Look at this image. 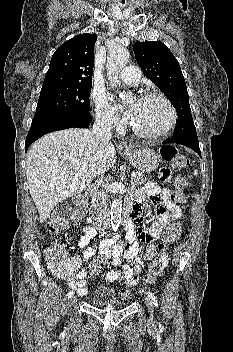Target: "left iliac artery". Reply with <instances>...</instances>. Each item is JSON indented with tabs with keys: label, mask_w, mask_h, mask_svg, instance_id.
<instances>
[{
	"label": "left iliac artery",
	"mask_w": 233,
	"mask_h": 352,
	"mask_svg": "<svg viewBox=\"0 0 233 352\" xmlns=\"http://www.w3.org/2000/svg\"><path fill=\"white\" fill-rule=\"evenodd\" d=\"M148 297L151 299L152 303L158 307V301L156 296L152 292H148Z\"/></svg>",
	"instance_id": "44dca946"
}]
</instances>
